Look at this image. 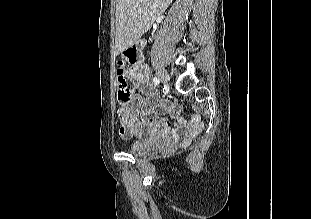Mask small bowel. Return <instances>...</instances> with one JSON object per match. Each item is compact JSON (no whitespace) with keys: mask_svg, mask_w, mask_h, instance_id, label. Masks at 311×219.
<instances>
[{"mask_svg":"<svg viewBox=\"0 0 311 219\" xmlns=\"http://www.w3.org/2000/svg\"><path fill=\"white\" fill-rule=\"evenodd\" d=\"M131 76L138 84L139 94L133 96L130 105L120 106L117 111L121 137L143 139L160 134L172 142L180 138L188 140L200 130L198 119H183L179 115L180 105L177 102L160 97L159 92L149 83L148 68L143 60L131 69ZM164 115L177 120L180 128L185 131L182 137L161 120L160 117Z\"/></svg>","mask_w":311,"mask_h":219,"instance_id":"c3829d8e","label":"small bowel"}]
</instances>
